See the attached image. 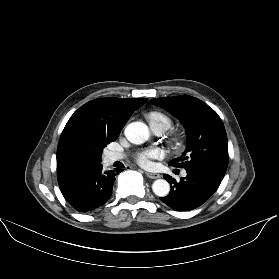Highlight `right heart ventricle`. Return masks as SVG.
Wrapping results in <instances>:
<instances>
[{
    "mask_svg": "<svg viewBox=\"0 0 279 279\" xmlns=\"http://www.w3.org/2000/svg\"><path fill=\"white\" fill-rule=\"evenodd\" d=\"M147 118L151 126L162 127L164 130H167L172 124L171 118L159 111L149 112Z\"/></svg>",
    "mask_w": 279,
    "mask_h": 279,
    "instance_id": "obj_1",
    "label": "right heart ventricle"
}]
</instances>
